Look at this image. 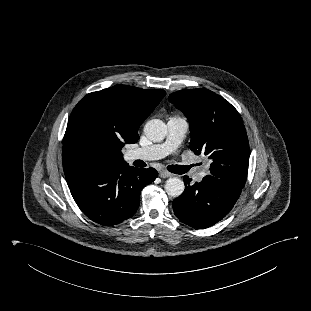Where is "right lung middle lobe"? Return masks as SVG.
Instances as JSON below:
<instances>
[{
	"instance_id": "1",
	"label": "right lung middle lobe",
	"mask_w": 311,
	"mask_h": 311,
	"mask_svg": "<svg viewBox=\"0 0 311 311\" xmlns=\"http://www.w3.org/2000/svg\"><path fill=\"white\" fill-rule=\"evenodd\" d=\"M111 139L103 131L91 113L74 119L69 125L63 142L64 169H84L112 163Z\"/></svg>"
}]
</instances>
